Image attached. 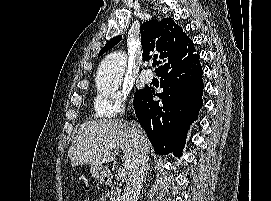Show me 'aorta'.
<instances>
[{
	"instance_id": "762f6f07",
	"label": "aorta",
	"mask_w": 271,
	"mask_h": 201,
	"mask_svg": "<svg viewBox=\"0 0 271 201\" xmlns=\"http://www.w3.org/2000/svg\"><path fill=\"white\" fill-rule=\"evenodd\" d=\"M126 67V55L114 52L107 55L98 68L97 83L101 89L112 91L118 88Z\"/></svg>"
}]
</instances>
